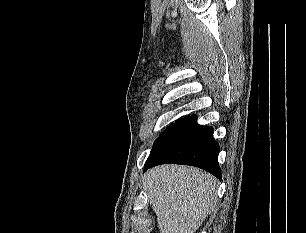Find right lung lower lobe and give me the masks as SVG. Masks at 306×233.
Instances as JSON below:
<instances>
[{
	"instance_id": "1",
	"label": "right lung lower lobe",
	"mask_w": 306,
	"mask_h": 233,
	"mask_svg": "<svg viewBox=\"0 0 306 233\" xmlns=\"http://www.w3.org/2000/svg\"><path fill=\"white\" fill-rule=\"evenodd\" d=\"M219 151V145L213 139V128L198 125L195 120L158 156L146 162L144 171L156 165L176 163L205 169L221 179Z\"/></svg>"
}]
</instances>
